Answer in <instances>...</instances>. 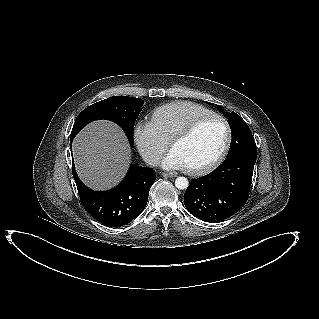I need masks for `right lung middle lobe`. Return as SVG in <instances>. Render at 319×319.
I'll use <instances>...</instances> for the list:
<instances>
[{
  "mask_svg": "<svg viewBox=\"0 0 319 319\" xmlns=\"http://www.w3.org/2000/svg\"><path fill=\"white\" fill-rule=\"evenodd\" d=\"M143 108V100L127 96H114L99 101L84 109L76 118L70 140L89 122L108 119L118 124L126 133L130 145L133 146V128Z\"/></svg>",
  "mask_w": 319,
  "mask_h": 319,
  "instance_id": "1",
  "label": "right lung middle lobe"
}]
</instances>
